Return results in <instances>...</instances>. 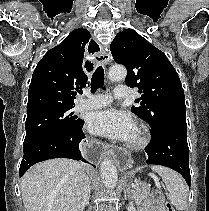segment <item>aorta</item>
<instances>
[{"label":"aorta","instance_id":"762f6f07","mask_svg":"<svg viewBox=\"0 0 209 211\" xmlns=\"http://www.w3.org/2000/svg\"><path fill=\"white\" fill-rule=\"evenodd\" d=\"M127 70L124 66L114 65L109 69L108 78L113 82H119L125 79ZM102 182L106 188L113 189L117 185V169L110 159H104L100 166Z\"/></svg>","mask_w":209,"mask_h":211}]
</instances>
